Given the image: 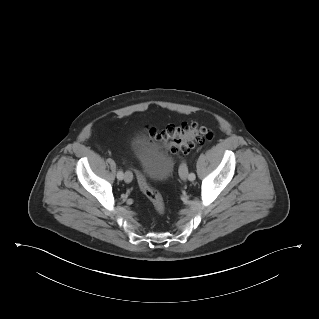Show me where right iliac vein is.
I'll list each match as a JSON object with an SVG mask.
<instances>
[{
  "instance_id": "right-iliac-vein-1",
  "label": "right iliac vein",
  "mask_w": 319,
  "mask_h": 319,
  "mask_svg": "<svg viewBox=\"0 0 319 319\" xmlns=\"http://www.w3.org/2000/svg\"><path fill=\"white\" fill-rule=\"evenodd\" d=\"M133 175L130 171H126L124 174V180L126 183H130L132 181Z\"/></svg>"
}]
</instances>
